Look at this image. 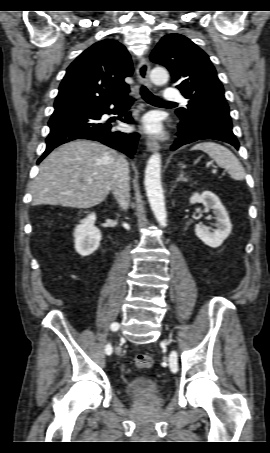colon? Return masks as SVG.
Segmentation results:
<instances>
[{"instance_id":"1","label":"colon","mask_w":270,"mask_h":453,"mask_svg":"<svg viewBox=\"0 0 270 453\" xmlns=\"http://www.w3.org/2000/svg\"><path fill=\"white\" fill-rule=\"evenodd\" d=\"M135 366L139 369L150 368L153 364V359L148 354H139L134 358Z\"/></svg>"}]
</instances>
